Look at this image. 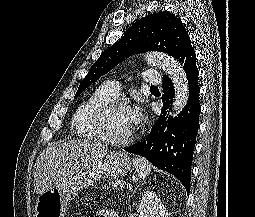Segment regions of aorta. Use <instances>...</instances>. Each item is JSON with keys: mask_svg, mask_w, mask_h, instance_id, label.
<instances>
[{"mask_svg": "<svg viewBox=\"0 0 255 217\" xmlns=\"http://www.w3.org/2000/svg\"><path fill=\"white\" fill-rule=\"evenodd\" d=\"M145 60L148 64L161 68L171 78L175 89L172 115L176 116L182 111L189 98V86L186 73L173 57L164 53H147L145 55Z\"/></svg>", "mask_w": 255, "mask_h": 217, "instance_id": "obj_1", "label": "aorta"}]
</instances>
